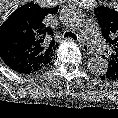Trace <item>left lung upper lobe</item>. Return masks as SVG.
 Masks as SVG:
<instances>
[{
    "label": "left lung upper lobe",
    "instance_id": "1",
    "mask_svg": "<svg viewBox=\"0 0 118 118\" xmlns=\"http://www.w3.org/2000/svg\"><path fill=\"white\" fill-rule=\"evenodd\" d=\"M94 12L102 29V35L110 46L108 69L101 78L118 80V12L108 7H98Z\"/></svg>",
    "mask_w": 118,
    "mask_h": 118
}]
</instances>
